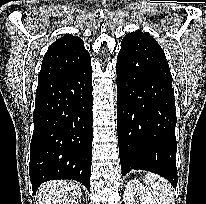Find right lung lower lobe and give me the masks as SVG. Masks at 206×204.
I'll return each instance as SVG.
<instances>
[{
	"label": "right lung lower lobe",
	"mask_w": 206,
	"mask_h": 204,
	"mask_svg": "<svg viewBox=\"0 0 206 204\" xmlns=\"http://www.w3.org/2000/svg\"><path fill=\"white\" fill-rule=\"evenodd\" d=\"M92 100L91 59L38 81L29 166L34 193L54 179L76 180L90 191Z\"/></svg>",
	"instance_id": "obj_1"
}]
</instances>
